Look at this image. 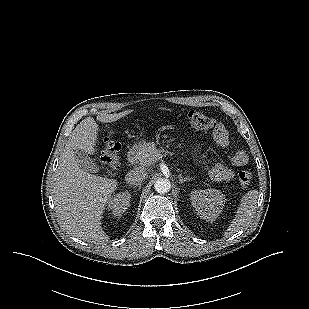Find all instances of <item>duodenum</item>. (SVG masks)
<instances>
[{
  "label": "duodenum",
  "mask_w": 309,
  "mask_h": 309,
  "mask_svg": "<svg viewBox=\"0 0 309 309\" xmlns=\"http://www.w3.org/2000/svg\"><path fill=\"white\" fill-rule=\"evenodd\" d=\"M138 152L135 148H131L126 155L127 162L131 163L136 160Z\"/></svg>",
  "instance_id": "1"
}]
</instances>
